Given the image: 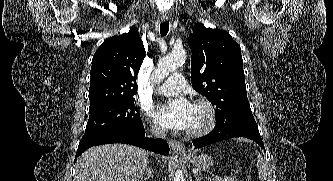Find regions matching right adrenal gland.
Masks as SVG:
<instances>
[{"label": "right adrenal gland", "mask_w": 333, "mask_h": 181, "mask_svg": "<svg viewBox=\"0 0 333 181\" xmlns=\"http://www.w3.org/2000/svg\"><path fill=\"white\" fill-rule=\"evenodd\" d=\"M149 178L153 180V170L152 168L146 169V177L142 181H147Z\"/></svg>", "instance_id": "2a0ac1e0"}]
</instances>
